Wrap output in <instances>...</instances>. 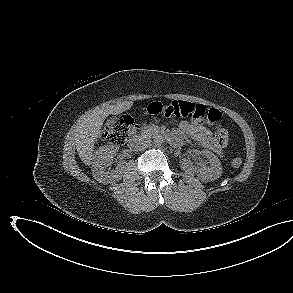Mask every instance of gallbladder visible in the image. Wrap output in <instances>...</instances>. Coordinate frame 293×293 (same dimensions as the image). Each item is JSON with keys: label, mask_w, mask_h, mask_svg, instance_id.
Masks as SVG:
<instances>
[{"label": "gallbladder", "mask_w": 293, "mask_h": 293, "mask_svg": "<svg viewBox=\"0 0 293 293\" xmlns=\"http://www.w3.org/2000/svg\"><path fill=\"white\" fill-rule=\"evenodd\" d=\"M116 120H117V117L116 116H109L106 119V123H107V125H111L112 126V125L115 124Z\"/></svg>", "instance_id": "bac80fb5"}]
</instances>
